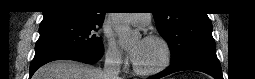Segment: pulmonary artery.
Instances as JSON below:
<instances>
[{"instance_id": "pulmonary-artery-1", "label": "pulmonary artery", "mask_w": 255, "mask_h": 79, "mask_svg": "<svg viewBox=\"0 0 255 79\" xmlns=\"http://www.w3.org/2000/svg\"><path fill=\"white\" fill-rule=\"evenodd\" d=\"M127 23L145 25L150 23L151 14H130L125 20Z\"/></svg>"}]
</instances>
